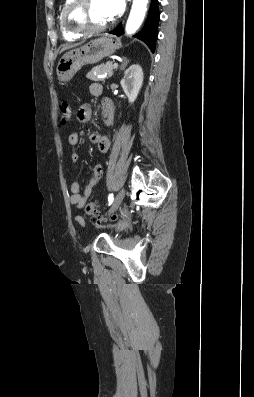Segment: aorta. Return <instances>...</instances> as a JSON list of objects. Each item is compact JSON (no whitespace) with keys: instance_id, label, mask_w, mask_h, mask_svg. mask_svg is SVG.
Masks as SVG:
<instances>
[{"instance_id":"1","label":"aorta","mask_w":254,"mask_h":397,"mask_svg":"<svg viewBox=\"0 0 254 397\" xmlns=\"http://www.w3.org/2000/svg\"><path fill=\"white\" fill-rule=\"evenodd\" d=\"M148 0H133L132 9L126 23V33H135L142 24L146 11Z\"/></svg>"}]
</instances>
